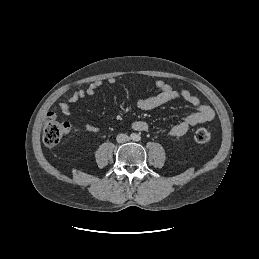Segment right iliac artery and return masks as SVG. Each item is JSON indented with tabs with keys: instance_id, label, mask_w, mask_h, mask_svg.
<instances>
[{
	"instance_id": "82829eb1",
	"label": "right iliac artery",
	"mask_w": 259,
	"mask_h": 259,
	"mask_svg": "<svg viewBox=\"0 0 259 259\" xmlns=\"http://www.w3.org/2000/svg\"><path fill=\"white\" fill-rule=\"evenodd\" d=\"M131 138H134V135H133V134L131 135Z\"/></svg>"
}]
</instances>
